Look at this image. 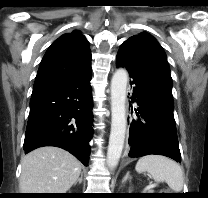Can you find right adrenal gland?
I'll return each instance as SVG.
<instances>
[{"mask_svg":"<svg viewBox=\"0 0 208 198\" xmlns=\"http://www.w3.org/2000/svg\"><path fill=\"white\" fill-rule=\"evenodd\" d=\"M82 178H83V173L81 172L80 177H79L78 180L74 183V185H76L77 183L81 184V183H82Z\"/></svg>","mask_w":208,"mask_h":198,"instance_id":"1","label":"right adrenal gland"}]
</instances>
